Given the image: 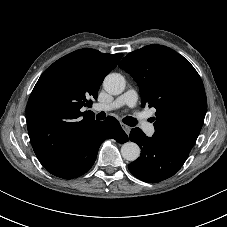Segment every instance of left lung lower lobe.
Masks as SVG:
<instances>
[{
	"mask_svg": "<svg viewBox=\"0 0 227 227\" xmlns=\"http://www.w3.org/2000/svg\"><path fill=\"white\" fill-rule=\"evenodd\" d=\"M130 140L141 148V156L128 165L138 179L156 183L173 176L185 163L189 153L167 144L163 137H147L139 128L130 132Z\"/></svg>",
	"mask_w": 227,
	"mask_h": 227,
	"instance_id": "obj_1",
	"label": "left lung lower lobe"
}]
</instances>
